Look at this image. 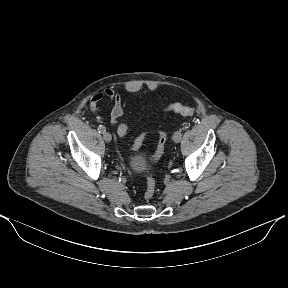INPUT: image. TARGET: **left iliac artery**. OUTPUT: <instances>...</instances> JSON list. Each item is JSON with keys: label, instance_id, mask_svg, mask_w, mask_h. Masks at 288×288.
<instances>
[{"label": "left iliac artery", "instance_id": "1", "mask_svg": "<svg viewBox=\"0 0 288 288\" xmlns=\"http://www.w3.org/2000/svg\"><path fill=\"white\" fill-rule=\"evenodd\" d=\"M180 134H182L184 132V127H179V131Z\"/></svg>", "mask_w": 288, "mask_h": 288}]
</instances>
